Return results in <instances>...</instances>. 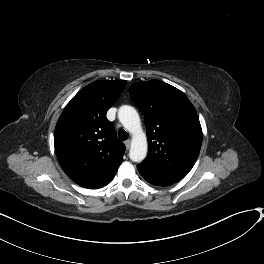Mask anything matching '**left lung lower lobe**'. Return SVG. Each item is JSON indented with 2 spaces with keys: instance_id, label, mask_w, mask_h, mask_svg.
Segmentation results:
<instances>
[{
  "instance_id": "left-lung-lower-lobe-1",
  "label": "left lung lower lobe",
  "mask_w": 264,
  "mask_h": 264,
  "mask_svg": "<svg viewBox=\"0 0 264 264\" xmlns=\"http://www.w3.org/2000/svg\"><path fill=\"white\" fill-rule=\"evenodd\" d=\"M138 171L147 182H149L153 185H156V186H169L173 183H176V182L156 178V177H154V176H152V175L148 174L147 172L140 170V169H138Z\"/></svg>"
}]
</instances>
